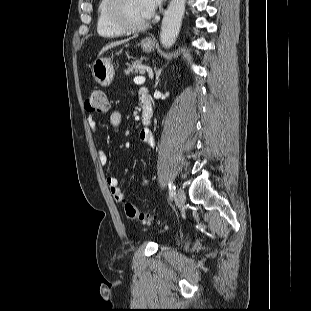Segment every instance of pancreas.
<instances>
[{"label": "pancreas", "instance_id": "cf45deb5", "mask_svg": "<svg viewBox=\"0 0 311 311\" xmlns=\"http://www.w3.org/2000/svg\"><path fill=\"white\" fill-rule=\"evenodd\" d=\"M143 70H144V67L141 65V63L136 61L135 63H133L132 66H129L125 70V74L130 75V74L142 73Z\"/></svg>", "mask_w": 311, "mask_h": 311}]
</instances>
